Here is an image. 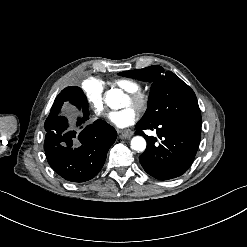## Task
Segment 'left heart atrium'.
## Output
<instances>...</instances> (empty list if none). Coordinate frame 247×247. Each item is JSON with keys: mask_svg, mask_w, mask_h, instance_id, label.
Masks as SVG:
<instances>
[{"mask_svg": "<svg viewBox=\"0 0 247 247\" xmlns=\"http://www.w3.org/2000/svg\"><path fill=\"white\" fill-rule=\"evenodd\" d=\"M109 119L115 126L124 128L134 124L139 119V109L135 106H129L124 110L112 112Z\"/></svg>", "mask_w": 247, "mask_h": 247, "instance_id": "39dd6f15", "label": "left heart atrium"}]
</instances>
